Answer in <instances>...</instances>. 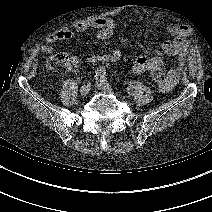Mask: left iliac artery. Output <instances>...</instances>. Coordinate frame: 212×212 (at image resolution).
<instances>
[{
    "instance_id": "1",
    "label": "left iliac artery",
    "mask_w": 212,
    "mask_h": 212,
    "mask_svg": "<svg viewBox=\"0 0 212 212\" xmlns=\"http://www.w3.org/2000/svg\"><path fill=\"white\" fill-rule=\"evenodd\" d=\"M101 80H102L103 82H107V77H106V76H103V77H101Z\"/></svg>"
}]
</instances>
